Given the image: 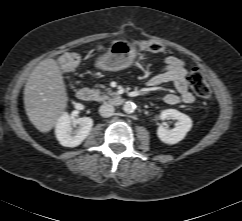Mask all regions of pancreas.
<instances>
[{
	"label": "pancreas",
	"instance_id": "cf45deb5",
	"mask_svg": "<svg viewBox=\"0 0 242 221\" xmlns=\"http://www.w3.org/2000/svg\"><path fill=\"white\" fill-rule=\"evenodd\" d=\"M95 92H96L97 95L100 94V91H99V90H96ZM108 94H109V95H113L114 93H112L110 90H108ZM106 99H108V96H106V95H102V96H99V97H98V100H99V101H104V100H106Z\"/></svg>",
	"mask_w": 242,
	"mask_h": 221
}]
</instances>
